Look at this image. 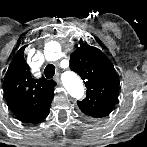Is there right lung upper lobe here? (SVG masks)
Segmentation results:
<instances>
[{"mask_svg":"<svg viewBox=\"0 0 147 147\" xmlns=\"http://www.w3.org/2000/svg\"><path fill=\"white\" fill-rule=\"evenodd\" d=\"M24 48L14 56L4 79V94L12 113L26 123H38L49 114L56 82L34 79L24 59Z\"/></svg>","mask_w":147,"mask_h":147,"instance_id":"cb5924a9","label":"right lung upper lobe"}]
</instances>
